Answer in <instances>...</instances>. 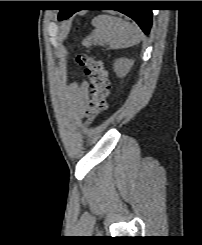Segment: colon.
<instances>
[{"mask_svg": "<svg viewBox=\"0 0 202 245\" xmlns=\"http://www.w3.org/2000/svg\"><path fill=\"white\" fill-rule=\"evenodd\" d=\"M77 64L84 69L87 77V102L85 118L94 120L107 110V99L110 94V81L104 61L90 54H79Z\"/></svg>", "mask_w": 202, "mask_h": 245, "instance_id": "obj_1", "label": "colon"}]
</instances>
